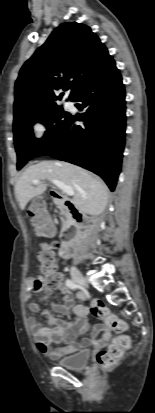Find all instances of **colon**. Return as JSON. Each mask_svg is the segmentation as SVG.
<instances>
[{
	"label": "colon",
	"instance_id": "colon-1",
	"mask_svg": "<svg viewBox=\"0 0 155 413\" xmlns=\"http://www.w3.org/2000/svg\"><path fill=\"white\" fill-rule=\"evenodd\" d=\"M35 201L27 211L30 223L38 236H45L51 233L53 224L46 209L44 194L37 192ZM38 258L41 263V273L44 283L54 288L58 285L60 277L55 265L53 247L42 244L39 247ZM92 314L102 320L106 327L118 334L113 339L107 349L101 350L96 355V362L102 367H110L120 360L126 350L130 348L131 339L124 334L126 330L125 322L110 312L109 308L100 300L91 302Z\"/></svg>",
	"mask_w": 155,
	"mask_h": 413
}]
</instances>
